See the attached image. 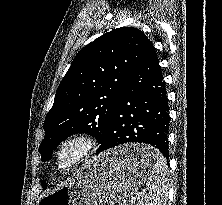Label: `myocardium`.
Here are the masks:
<instances>
[{
  "label": "myocardium",
  "instance_id": "1",
  "mask_svg": "<svg viewBox=\"0 0 222 205\" xmlns=\"http://www.w3.org/2000/svg\"><path fill=\"white\" fill-rule=\"evenodd\" d=\"M96 145L95 137L88 132H76L63 139L55 150V162L61 169L75 168L86 160L94 151ZM68 147H76L77 152L70 161H63L62 154Z\"/></svg>",
  "mask_w": 222,
  "mask_h": 205
}]
</instances>
